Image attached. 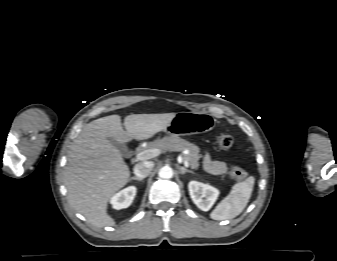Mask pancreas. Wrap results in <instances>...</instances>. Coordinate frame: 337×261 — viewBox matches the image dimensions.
<instances>
[{
    "mask_svg": "<svg viewBox=\"0 0 337 261\" xmlns=\"http://www.w3.org/2000/svg\"><path fill=\"white\" fill-rule=\"evenodd\" d=\"M149 148H158L161 152L165 151H184L188 150L189 153L183 157V160L188 161L192 169L199 167V152L198 146L178 137L170 136L163 139H157L148 145Z\"/></svg>",
    "mask_w": 337,
    "mask_h": 261,
    "instance_id": "1",
    "label": "pancreas"
}]
</instances>
